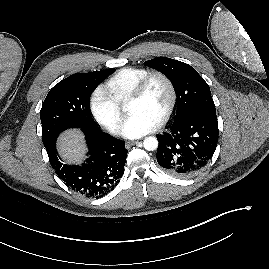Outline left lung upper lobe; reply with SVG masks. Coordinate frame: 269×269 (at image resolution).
I'll return each instance as SVG.
<instances>
[{
	"mask_svg": "<svg viewBox=\"0 0 269 269\" xmlns=\"http://www.w3.org/2000/svg\"><path fill=\"white\" fill-rule=\"evenodd\" d=\"M144 64L159 70L171 80L177 95L174 122L181 121L195 112H216L208 84L193 67L166 57L155 58Z\"/></svg>",
	"mask_w": 269,
	"mask_h": 269,
	"instance_id": "obj_1",
	"label": "left lung upper lobe"
}]
</instances>
